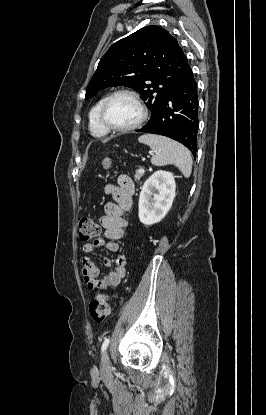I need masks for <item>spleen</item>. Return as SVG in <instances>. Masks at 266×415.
<instances>
[{"label":"spleen","mask_w":266,"mask_h":415,"mask_svg":"<svg viewBox=\"0 0 266 415\" xmlns=\"http://www.w3.org/2000/svg\"><path fill=\"white\" fill-rule=\"evenodd\" d=\"M140 143L147 144L154 155L151 163L155 166L173 164L185 178H189L192 172V157L188 149L180 143L164 136L145 134L138 138Z\"/></svg>","instance_id":"3e777b00"}]
</instances>
